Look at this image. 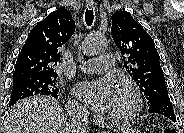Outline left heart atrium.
Segmentation results:
<instances>
[{
	"instance_id": "left-heart-atrium-1",
	"label": "left heart atrium",
	"mask_w": 184,
	"mask_h": 133,
	"mask_svg": "<svg viewBox=\"0 0 184 133\" xmlns=\"http://www.w3.org/2000/svg\"><path fill=\"white\" fill-rule=\"evenodd\" d=\"M74 93L90 109L107 112L116 99L117 89L108 79L83 81L75 86Z\"/></svg>"
}]
</instances>
